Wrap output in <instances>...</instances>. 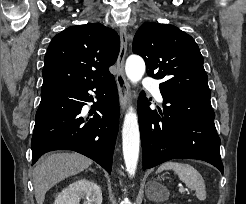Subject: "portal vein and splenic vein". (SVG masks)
I'll return each mask as SVG.
<instances>
[{"instance_id": "18ae733b", "label": "portal vein and splenic vein", "mask_w": 246, "mask_h": 204, "mask_svg": "<svg viewBox=\"0 0 246 204\" xmlns=\"http://www.w3.org/2000/svg\"><path fill=\"white\" fill-rule=\"evenodd\" d=\"M179 191L180 192H184V191H188V189L184 188L182 185L179 186Z\"/></svg>"}]
</instances>
